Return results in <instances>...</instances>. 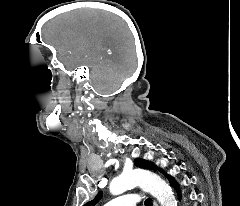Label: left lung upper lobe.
<instances>
[{"mask_svg":"<svg viewBox=\"0 0 240 206\" xmlns=\"http://www.w3.org/2000/svg\"><path fill=\"white\" fill-rule=\"evenodd\" d=\"M134 164L135 166L144 168V169H151V170L158 169L157 166L154 165L153 163L139 159V158L135 159ZM159 171L164 173L161 169H159ZM101 197H102V193H98L92 201L87 202L84 206H95L96 203L99 202Z\"/></svg>","mask_w":240,"mask_h":206,"instance_id":"obj_1","label":"left lung upper lobe"}]
</instances>
